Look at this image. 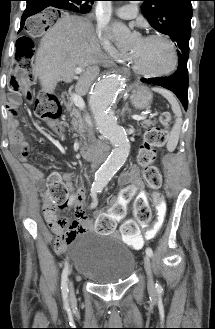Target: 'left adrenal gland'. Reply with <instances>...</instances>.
Masks as SVG:
<instances>
[{"label":"left adrenal gland","mask_w":215,"mask_h":329,"mask_svg":"<svg viewBox=\"0 0 215 329\" xmlns=\"http://www.w3.org/2000/svg\"><path fill=\"white\" fill-rule=\"evenodd\" d=\"M130 113V109L128 107V102L125 103L124 107L122 108V111H121V116H122V120L124 121V116H125V113Z\"/></svg>","instance_id":"a2214340"}]
</instances>
